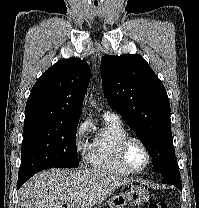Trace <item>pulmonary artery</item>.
I'll use <instances>...</instances> for the list:
<instances>
[{"label": "pulmonary artery", "mask_w": 199, "mask_h": 208, "mask_svg": "<svg viewBox=\"0 0 199 208\" xmlns=\"http://www.w3.org/2000/svg\"><path fill=\"white\" fill-rule=\"evenodd\" d=\"M103 117H109L114 119H120V116L113 110H105Z\"/></svg>", "instance_id": "e3ab8cb5"}]
</instances>
